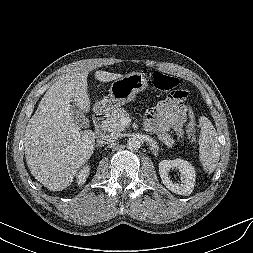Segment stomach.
Instances as JSON below:
<instances>
[{"label": "stomach", "instance_id": "obj_1", "mask_svg": "<svg viewBox=\"0 0 253 253\" xmlns=\"http://www.w3.org/2000/svg\"><path fill=\"white\" fill-rule=\"evenodd\" d=\"M148 85L144 74L132 72L117 79L111 84L109 94L96 105L100 113H112L115 109L130 102L136 94L146 89Z\"/></svg>", "mask_w": 253, "mask_h": 253}]
</instances>
